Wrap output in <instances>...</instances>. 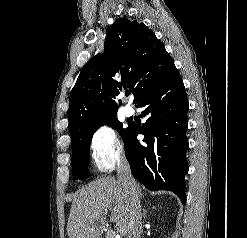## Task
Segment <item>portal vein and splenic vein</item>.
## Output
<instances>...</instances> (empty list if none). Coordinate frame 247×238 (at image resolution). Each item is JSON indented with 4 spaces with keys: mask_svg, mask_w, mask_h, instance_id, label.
I'll use <instances>...</instances> for the list:
<instances>
[{
    "mask_svg": "<svg viewBox=\"0 0 247 238\" xmlns=\"http://www.w3.org/2000/svg\"><path fill=\"white\" fill-rule=\"evenodd\" d=\"M106 238H115V231L109 230Z\"/></svg>",
    "mask_w": 247,
    "mask_h": 238,
    "instance_id": "1",
    "label": "portal vein and splenic vein"
}]
</instances>
